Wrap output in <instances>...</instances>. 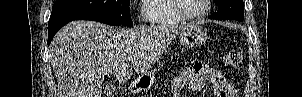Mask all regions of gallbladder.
Masks as SVG:
<instances>
[{
	"mask_svg": "<svg viewBox=\"0 0 302 97\" xmlns=\"http://www.w3.org/2000/svg\"><path fill=\"white\" fill-rule=\"evenodd\" d=\"M115 92V87L112 85H108L105 90H104V94L108 97L110 95H112Z\"/></svg>",
	"mask_w": 302,
	"mask_h": 97,
	"instance_id": "obj_1",
	"label": "gallbladder"
}]
</instances>
